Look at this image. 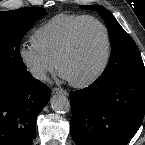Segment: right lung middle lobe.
I'll return each mask as SVG.
<instances>
[{"instance_id": "1", "label": "right lung middle lobe", "mask_w": 145, "mask_h": 145, "mask_svg": "<svg viewBox=\"0 0 145 145\" xmlns=\"http://www.w3.org/2000/svg\"><path fill=\"white\" fill-rule=\"evenodd\" d=\"M45 14V9L39 7L0 12V81L27 73L19 45L27 31Z\"/></svg>"}]
</instances>
